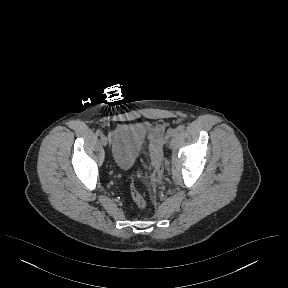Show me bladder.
I'll return each instance as SVG.
<instances>
[{"instance_id":"31cf9c89","label":"bladder","mask_w":288,"mask_h":288,"mask_svg":"<svg viewBox=\"0 0 288 288\" xmlns=\"http://www.w3.org/2000/svg\"><path fill=\"white\" fill-rule=\"evenodd\" d=\"M146 138V129L136 124L121 125L110 134L113 163L121 170L130 169L135 163Z\"/></svg>"}]
</instances>
